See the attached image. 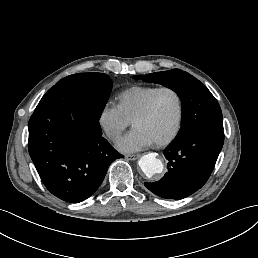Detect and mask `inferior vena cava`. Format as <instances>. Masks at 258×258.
<instances>
[{
    "instance_id": "inferior-vena-cava-1",
    "label": "inferior vena cava",
    "mask_w": 258,
    "mask_h": 258,
    "mask_svg": "<svg viewBox=\"0 0 258 258\" xmlns=\"http://www.w3.org/2000/svg\"><path fill=\"white\" fill-rule=\"evenodd\" d=\"M106 134H107L108 137H112V135H113L114 133H113L112 130H108V131L106 132Z\"/></svg>"
}]
</instances>
